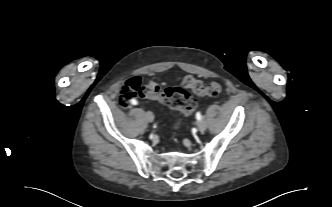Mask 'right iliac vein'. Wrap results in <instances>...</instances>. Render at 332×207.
Wrapping results in <instances>:
<instances>
[{
    "label": "right iliac vein",
    "mask_w": 332,
    "mask_h": 207,
    "mask_svg": "<svg viewBox=\"0 0 332 207\" xmlns=\"http://www.w3.org/2000/svg\"><path fill=\"white\" fill-rule=\"evenodd\" d=\"M145 115H146V119H147L148 122H153L154 115L151 111H147Z\"/></svg>",
    "instance_id": "1"
}]
</instances>
